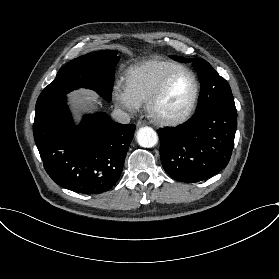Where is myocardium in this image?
I'll return each instance as SVG.
<instances>
[{
	"label": "myocardium",
	"mask_w": 279,
	"mask_h": 279,
	"mask_svg": "<svg viewBox=\"0 0 279 279\" xmlns=\"http://www.w3.org/2000/svg\"><path fill=\"white\" fill-rule=\"evenodd\" d=\"M183 73H187V74L191 75V77L193 78L194 90H193L192 97H191L190 101L188 102V104L186 105V107L178 115L172 116V117L165 116L159 112L158 106H159L161 100L163 99L167 89L169 88L171 82L176 77H178L179 75H181ZM199 92H200L199 81H198L196 74L192 70L184 68V69H179L177 71H174V72L168 74L161 81L159 86L155 89V91L149 98L148 107H147L149 117L155 123L162 125V126L175 127V126L181 125L184 122H186L193 114V112L196 108L197 102H198Z\"/></svg>",
	"instance_id": "1"
}]
</instances>
